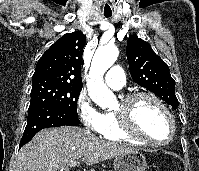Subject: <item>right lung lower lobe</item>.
I'll list each match as a JSON object with an SVG mask.
<instances>
[{
  "label": "right lung lower lobe",
  "instance_id": "right-lung-lower-lobe-1",
  "mask_svg": "<svg viewBox=\"0 0 199 171\" xmlns=\"http://www.w3.org/2000/svg\"><path fill=\"white\" fill-rule=\"evenodd\" d=\"M79 122L78 116L73 115L55 104L45 102L30 105L27 125L19 148L29 142L38 131L44 128L64 125L75 126L79 124Z\"/></svg>",
  "mask_w": 199,
  "mask_h": 171
}]
</instances>
